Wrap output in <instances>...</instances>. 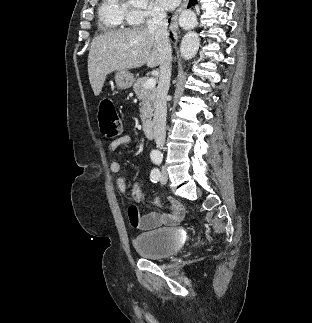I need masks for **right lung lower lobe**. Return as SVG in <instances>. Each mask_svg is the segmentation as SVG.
Returning a JSON list of instances; mask_svg holds the SVG:
<instances>
[{
  "instance_id": "98d812e1",
  "label": "right lung lower lobe",
  "mask_w": 312,
  "mask_h": 323,
  "mask_svg": "<svg viewBox=\"0 0 312 323\" xmlns=\"http://www.w3.org/2000/svg\"><path fill=\"white\" fill-rule=\"evenodd\" d=\"M196 2H197V0H189L188 7H190L191 5L195 4Z\"/></svg>"
}]
</instances>
